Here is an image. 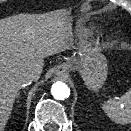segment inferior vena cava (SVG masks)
I'll use <instances>...</instances> for the list:
<instances>
[{
    "mask_svg": "<svg viewBox=\"0 0 131 131\" xmlns=\"http://www.w3.org/2000/svg\"><path fill=\"white\" fill-rule=\"evenodd\" d=\"M38 79V76H36L33 72L26 73L20 78V86L25 87L32 83L33 80Z\"/></svg>",
    "mask_w": 131,
    "mask_h": 131,
    "instance_id": "inferior-vena-cava-1",
    "label": "inferior vena cava"
}]
</instances>
